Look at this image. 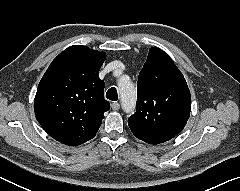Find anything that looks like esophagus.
Returning <instances> with one entry per match:
<instances>
[{
  "instance_id": "esophagus-1",
  "label": "esophagus",
  "mask_w": 240,
  "mask_h": 191,
  "mask_svg": "<svg viewBox=\"0 0 240 191\" xmlns=\"http://www.w3.org/2000/svg\"><path fill=\"white\" fill-rule=\"evenodd\" d=\"M111 108L114 110V111H117L120 109V104L118 102H113L111 104Z\"/></svg>"
}]
</instances>
